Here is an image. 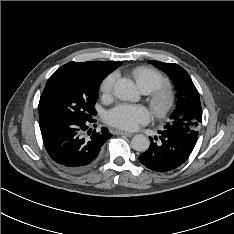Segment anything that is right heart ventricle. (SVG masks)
Wrapping results in <instances>:
<instances>
[{
  "label": "right heart ventricle",
  "instance_id": "obj_1",
  "mask_svg": "<svg viewBox=\"0 0 234 234\" xmlns=\"http://www.w3.org/2000/svg\"><path fill=\"white\" fill-rule=\"evenodd\" d=\"M132 75L142 92L145 91L151 93L159 88L167 87L169 85L167 78L151 67H137L132 71Z\"/></svg>",
  "mask_w": 234,
  "mask_h": 234
}]
</instances>
